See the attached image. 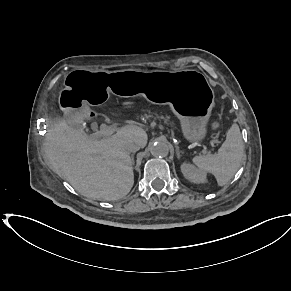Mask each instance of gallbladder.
Wrapping results in <instances>:
<instances>
[{"mask_svg": "<svg viewBox=\"0 0 291 291\" xmlns=\"http://www.w3.org/2000/svg\"><path fill=\"white\" fill-rule=\"evenodd\" d=\"M65 121L72 127H79L80 125L76 122V120L72 117H66Z\"/></svg>", "mask_w": 291, "mask_h": 291, "instance_id": "gallbladder-1", "label": "gallbladder"}]
</instances>
